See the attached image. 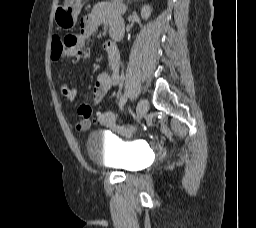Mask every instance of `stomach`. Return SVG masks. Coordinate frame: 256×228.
<instances>
[{
    "instance_id": "0dacf381",
    "label": "stomach",
    "mask_w": 256,
    "mask_h": 228,
    "mask_svg": "<svg viewBox=\"0 0 256 228\" xmlns=\"http://www.w3.org/2000/svg\"><path fill=\"white\" fill-rule=\"evenodd\" d=\"M82 6V0H65L64 5L55 11L56 25L61 29H72L77 23Z\"/></svg>"
}]
</instances>
